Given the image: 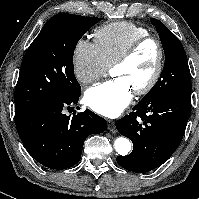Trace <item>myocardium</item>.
Returning <instances> with one entry per match:
<instances>
[{
  "mask_svg": "<svg viewBox=\"0 0 199 199\" xmlns=\"http://www.w3.org/2000/svg\"><path fill=\"white\" fill-rule=\"evenodd\" d=\"M147 43H153L157 49V62L153 74L143 86L133 90L136 95H145L149 93L158 83L164 68V48L160 39L153 35H147L135 40L111 65V70L129 62L137 51Z\"/></svg>",
  "mask_w": 199,
  "mask_h": 199,
  "instance_id": "myocardium-1",
  "label": "myocardium"
}]
</instances>
